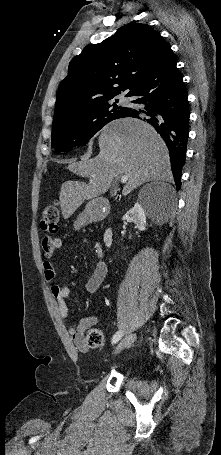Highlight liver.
I'll use <instances>...</instances> for the list:
<instances>
[{"mask_svg":"<svg viewBox=\"0 0 221 455\" xmlns=\"http://www.w3.org/2000/svg\"><path fill=\"white\" fill-rule=\"evenodd\" d=\"M100 152L87 161L73 162L69 171L89 178V183L66 181L59 200L64 219L85 201L106 193L114 179L128 176L123 195L148 181H171L168 149L155 129L135 118L107 124L98 138ZM94 176V177H92Z\"/></svg>","mask_w":221,"mask_h":455,"instance_id":"obj_1","label":"liver"}]
</instances>
